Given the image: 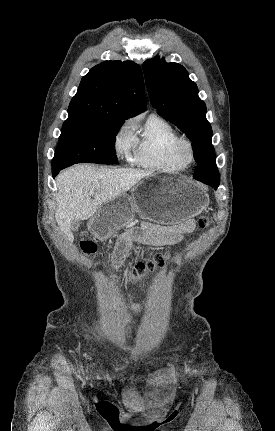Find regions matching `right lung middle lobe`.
<instances>
[{"label":"right lung middle lobe","mask_w":275,"mask_h":431,"mask_svg":"<svg viewBox=\"0 0 275 431\" xmlns=\"http://www.w3.org/2000/svg\"><path fill=\"white\" fill-rule=\"evenodd\" d=\"M123 122L115 116H69L63 123L52 167L82 162L115 164V139Z\"/></svg>","instance_id":"obj_1"}]
</instances>
